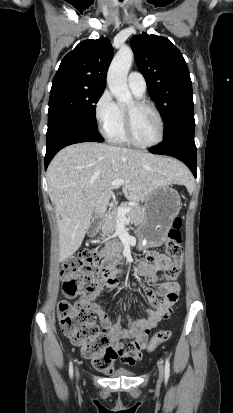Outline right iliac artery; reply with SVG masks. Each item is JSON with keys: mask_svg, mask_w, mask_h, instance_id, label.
I'll use <instances>...</instances> for the list:
<instances>
[{"mask_svg": "<svg viewBox=\"0 0 233 413\" xmlns=\"http://www.w3.org/2000/svg\"><path fill=\"white\" fill-rule=\"evenodd\" d=\"M69 375H70V378L73 377V365H72V362L69 363Z\"/></svg>", "mask_w": 233, "mask_h": 413, "instance_id": "right-iliac-artery-1", "label": "right iliac artery"}]
</instances>
